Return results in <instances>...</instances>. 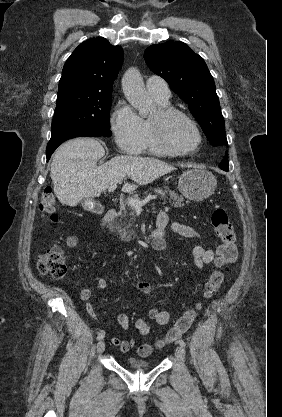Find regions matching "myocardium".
<instances>
[{
  "mask_svg": "<svg viewBox=\"0 0 282 417\" xmlns=\"http://www.w3.org/2000/svg\"><path fill=\"white\" fill-rule=\"evenodd\" d=\"M158 116L160 118V122L159 123H155L153 122L151 119L149 120L150 122V127L151 130L158 142V144L168 153H172V154H190L194 151H196L199 147V145L201 144L202 141V136L201 133L197 127V125L194 123V121L184 112L175 109L173 107H160L158 109ZM173 118H180L182 119L189 127L190 129L193 131L195 137H196V143L194 144V146L192 147H177L172 145L165 133H164V126L165 123Z\"/></svg>",
  "mask_w": 282,
  "mask_h": 417,
  "instance_id": "myocardium-1",
  "label": "myocardium"
}]
</instances>
